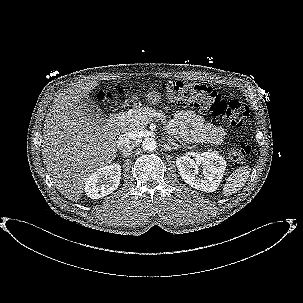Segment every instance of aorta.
<instances>
[{
    "mask_svg": "<svg viewBox=\"0 0 303 303\" xmlns=\"http://www.w3.org/2000/svg\"><path fill=\"white\" fill-rule=\"evenodd\" d=\"M157 147V142L152 137H146L142 141V148L146 151H154Z\"/></svg>",
    "mask_w": 303,
    "mask_h": 303,
    "instance_id": "762f6f07",
    "label": "aorta"
}]
</instances>
